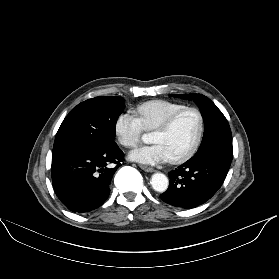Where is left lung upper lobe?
Returning <instances> with one entry per match:
<instances>
[{"mask_svg": "<svg viewBox=\"0 0 279 279\" xmlns=\"http://www.w3.org/2000/svg\"><path fill=\"white\" fill-rule=\"evenodd\" d=\"M176 98L194 100L201 110L204 119V135L197 153L193 157H198L207 152H217L233 157L232 134L225 116L218 107L206 96L202 94H174Z\"/></svg>", "mask_w": 279, "mask_h": 279, "instance_id": "1", "label": "left lung upper lobe"}]
</instances>
